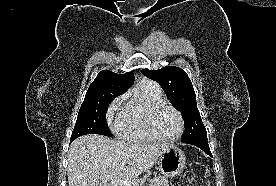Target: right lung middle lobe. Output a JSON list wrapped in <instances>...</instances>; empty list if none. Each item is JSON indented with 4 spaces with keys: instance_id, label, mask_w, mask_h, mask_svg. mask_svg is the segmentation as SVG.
I'll list each match as a JSON object with an SVG mask.
<instances>
[{
    "instance_id": "obj_1",
    "label": "right lung middle lobe",
    "mask_w": 276,
    "mask_h": 186,
    "mask_svg": "<svg viewBox=\"0 0 276 186\" xmlns=\"http://www.w3.org/2000/svg\"><path fill=\"white\" fill-rule=\"evenodd\" d=\"M119 95L121 94L105 91L87 92L80 107L71 139L74 140L86 134L112 136L106 122V112L110 102Z\"/></svg>"
}]
</instances>
